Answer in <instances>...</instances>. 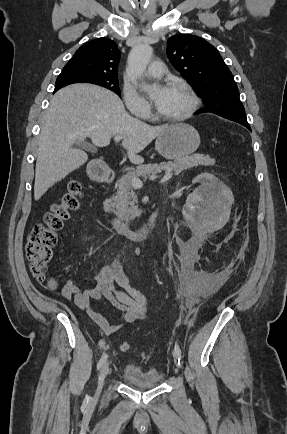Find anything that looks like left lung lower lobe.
Wrapping results in <instances>:
<instances>
[{"instance_id": "0a47b994", "label": "left lung lower lobe", "mask_w": 287, "mask_h": 434, "mask_svg": "<svg viewBox=\"0 0 287 434\" xmlns=\"http://www.w3.org/2000/svg\"><path fill=\"white\" fill-rule=\"evenodd\" d=\"M205 112H209V111L201 109V110L197 111L196 114H201V113H205ZM212 113H215V114H217L221 117H224L226 119H230L232 121L238 122V123L242 124L243 126L247 127L249 130H251V128L247 122L245 112L221 111V112H212Z\"/></svg>"}]
</instances>
